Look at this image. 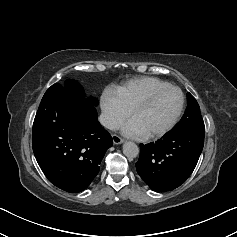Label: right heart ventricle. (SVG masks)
Masks as SVG:
<instances>
[{"mask_svg": "<svg viewBox=\"0 0 237 237\" xmlns=\"http://www.w3.org/2000/svg\"><path fill=\"white\" fill-rule=\"evenodd\" d=\"M169 85L167 82L154 77L134 78L121 86L110 88V91L120 100L125 108L131 107L147 93Z\"/></svg>", "mask_w": 237, "mask_h": 237, "instance_id": "right-heart-ventricle-1", "label": "right heart ventricle"}]
</instances>
